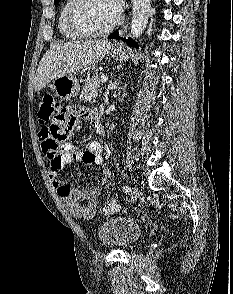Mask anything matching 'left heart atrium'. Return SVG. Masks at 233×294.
Masks as SVG:
<instances>
[{
	"label": "left heart atrium",
	"instance_id": "1",
	"mask_svg": "<svg viewBox=\"0 0 233 294\" xmlns=\"http://www.w3.org/2000/svg\"><path fill=\"white\" fill-rule=\"evenodd\" d=\"M114 11L117 13V14H120L122 9H123V0H109Z\"/></svg>",
	"mask_w": 233,
	"mask_h": 294
}]
</instances>
